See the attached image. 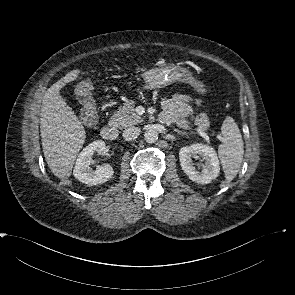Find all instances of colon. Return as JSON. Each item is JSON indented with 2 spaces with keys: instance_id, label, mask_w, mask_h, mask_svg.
Segmentation results:
<instances>
[{
  "instance_id": "colon-1",
  "label": "colon",
  "mask_w": 295,
  "mask_h": 295,
  "mask_svg": "<svg viewBox=\"0 0 295 295\" xmlns=\"http://www.w3.org/2000/svg\"><path fill=\"white\" fill-rule=\"evenodd\" d=\"M87 91H88L87 103L82 111L81 119H82L83 124L86 127L91 128L97 122V112L94 108V101L92 98V86L91 85L87 86Z\"/></svg>"
}]
</instances>
